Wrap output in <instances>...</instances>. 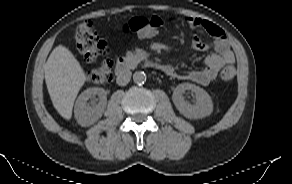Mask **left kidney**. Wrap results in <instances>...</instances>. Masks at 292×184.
<instances>
[{"mask_svg": "<svg viewBox=\"0 0 292 184\" xmlns=\"http://www.w3.org/2000/svg\"><path fill=\"white\" fill-rule=\"evenodd\" d=\"M186 90H190L195 94V104L192 105L185 100L183 94ZM172 100L178 111L186 118H204L213 112L211 97L204 89L195 84H179L173 92Z\"/></svg>", "mask_w": 292, "mask_h": 184, "instance_id": "5707ae66", "label": "left kidney"}]
</instances>
